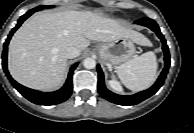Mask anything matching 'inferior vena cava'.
<instances>
[{
  "instance_id": "inferior-vena-cava-1",
  "label": "inferior vena cava",
  "mask_w": 194,
  "mask_h": 133,
  "mask_svg": "<svg viewBox=\"0 0 194 133\" xmlns=\"http://www.w3.org/2000/svg\"><path fill=\"white\" fill-rule=\"evenodd\" d=\"M80 54V51L78 48L74 47V46H70V47H67L65 49V57L67 59H72V58H75L77 57L78 55Z\"/></svg>"
}]
</instances>
